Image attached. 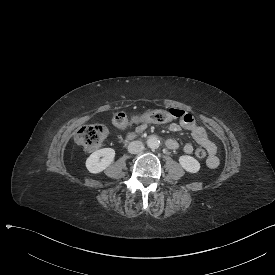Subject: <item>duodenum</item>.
<instances>
[{"label":"duodenum","mask_w":275,"mask_h":275,"mask_svg":"<svg viewBox=\"0 0 275 275\" xmlns=\"http://www.w3.org/2000/svg\"><path fill=\"white\" fill-rule=\"evenodd\" d=\"M136 137H137L136 133H131L126 137V140L131 141V140L135 139Z\"/></svg>","instance_id":"obj_1"}]
</instances>
